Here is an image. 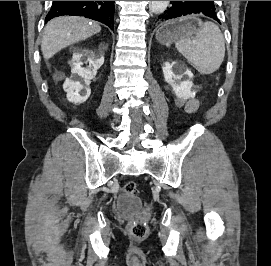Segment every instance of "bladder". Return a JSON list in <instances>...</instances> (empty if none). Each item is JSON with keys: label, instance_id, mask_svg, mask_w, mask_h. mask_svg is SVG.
<instances>
[{"label": "bladder", "instance_id": "obj_1", "mask_svg": "<svg viewBox=\"0 0 271 266\" xmlns=\"http://www.w3.org/2000/svg\"><path fill=\"white\" fill-rule=\"evenodd\" d=\"M142 206L141 199L136 195L122 194L116 201L118 211L131 214L139 210Z\"/></svg>", "mask_w": 271, "mask_h": 266}]
</instances>
